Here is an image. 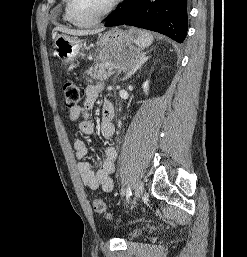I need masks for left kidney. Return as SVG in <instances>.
Instances as JSON below:
<instances>
[{
	"label": "left kidney",
	"mask_w": 247,
	"mask_h": 257,
	"mask_svg": "<svg viewBox=\"0 0 247 257\" xmlns=\"http://www.w3.org/2000/svg\"><path fill=\"white\" fill-rule=\"evenodd\" d=\"M143 91L145 92V94H148V90H149V81L147 80L146 82H144L143 84Z\"/></svg>",
	"instance_id": "left-kidney-1"
}]
</instances>
